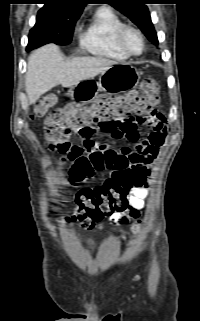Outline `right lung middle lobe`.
Returning a JSON list of instances; mask_svg holds the SVG:
<instances>
[{
	"label": "right lung middle lobe",
	"instance_id": "1",
	"mask_svg": "<svg viewBox=\"0 0 200 321\" xmlns=\"http://www.w3.org/2000/svg\"><path fill=\"white\" fill-rule=\"evenodd\" d=\"M82 12L56 15L46 8L38 11L36 23L29 32L27 51L47 43L67 45L72 40L74 26Z\"/></svg>",
	"mask_w": 200,
	"mask_h": 321
}]
</instances>
